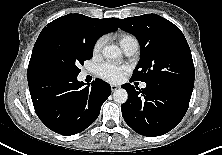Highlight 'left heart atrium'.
<instances>
[{"instance_id": "obj_1", "label": "left heart atrium", "mask_w": 222, "mask_h": 155, "mask_svg": "<svg viewBox=\"0 0 222 155\" xmlns=\"http://www.w3.org/2000/svg\"><path fill=\"white\" fill-rule=\"evenodd\" d=\"M127 69L126 66H116L110 63H104L99 67L98 74L106 81L118 82Z\"/></svg>"}]
</instances>
